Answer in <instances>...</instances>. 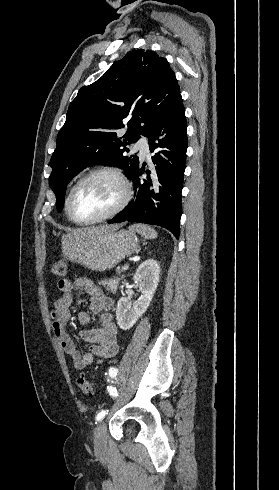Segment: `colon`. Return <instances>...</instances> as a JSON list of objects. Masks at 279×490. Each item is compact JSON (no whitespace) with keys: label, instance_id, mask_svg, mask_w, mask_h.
<instances>
[{"label":"colon","instance_id":"obj_1","mask_svg":"<svg viewBox=\"0 0 279 490\" xmlns=\"http://www.w3.org/2000/svg\"><path fill=\"white\" fill-rule=\"evenodd\" d=\"M51 271L54 275L64 277L67 273V261L58 259L51 263ZM76 386L79 392L86 397H92L94 394L93 383L84 376L76 378Z\"/></svg>","mask_w":279,"mask_h":490}]
</instances>
